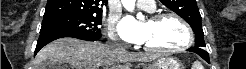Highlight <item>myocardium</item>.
I'll return each mask as SVG.
<instances>
[{
	"label": "myocardium",
	"instance_id": "obj_1",
	"mask_svg": "<svg viewBox=\"0 0 246 69\" xmlns=\"http://www.w3.org/2000/svg\"><path fill=\"white\" fill-rule=\"evenodd\" d=\"M168 18L176 20L183 27V29L186 33V39H185L184 43H182L181 45H179L177 47L168 48V49H160V48H155V47H151L149 45L143 44L145 48H147L148 50L154 51L156 53H160V54H172V53L186 50V49L191 47L193 40H194L192 30H191L189 24L182 17H180L178 14H175V13H158V14L153 15L150 18V21H159V20L168 19Z\"/></svg>",
	"mask_w": 246,
	"mask_h": 69
}]
</instances>
